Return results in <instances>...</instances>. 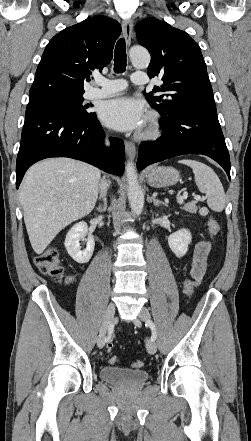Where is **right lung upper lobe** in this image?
Listing matches in <instances>:
<instances>
[{
  "label": "right lung upper lobe",
  "mask_w": 251,
  "mask_h": 441,
  "mask_svg": "<svg viewBox=\"0 0 251 441\" xmlns=\"http://www.w3.org/2000/svg\"><path fill=\"white\" fill-rule=\"evenodd\" d=\"M120 24L88 18L56 34L46 46L29 92V103L54 95H83L84 80L111 61Z\"/></svg>",
  "instance_id": "1"
}]
</instances>
